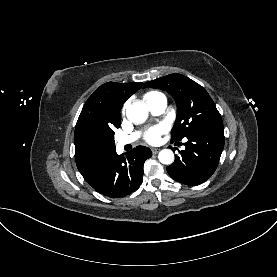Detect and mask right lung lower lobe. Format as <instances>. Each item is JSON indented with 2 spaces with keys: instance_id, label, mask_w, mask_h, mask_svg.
<instances>
[{
  "instance_id": "1",
  "label": "right lung lower lobe",
  "mask_w": 277,
  "mask_h": 277,
  "mask_svg": "<svg viewBox=\"0 0 277 277\" xmlns=\"http://www.w3.org/2000/svg\"><path fill=\"white\" fill-rule=\"evenodd\" d=\"M152 156L151 150L138 146L118 155L113 149L80 170L84 179L100 194L119 198L136 191L143 181V165Z\"/></svg>"
}]
</instances>
